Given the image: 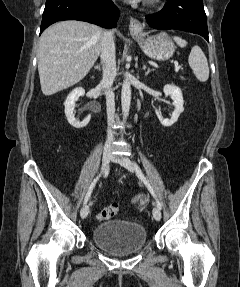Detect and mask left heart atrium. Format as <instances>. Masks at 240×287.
I'll use <instances>...</instances> for the list:
<instances>
[{
	"mask_svg": "<svg viewBox=\"0 0 240 287\" xmlns=\"http://www.w3.org/2000/svg\"><path fill=\"white\" fill-rule=\"evenodd\" d=\"M127 1H130V2H135V1H140V0H127Z\"/></svg>",
	"mask_w": 240,
	"mask_h": 287,
	"instance_id": "obj_1",
	"label": "left heart atrium"
}]
</instances>
